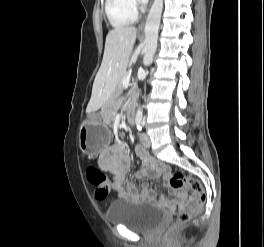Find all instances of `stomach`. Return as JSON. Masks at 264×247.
<instances>
[{
	"label": "stomach",
	"mask_w": 264,
	"mask_h": 247,
	"mask_svg": "<svg viewBox=\"0 0 264 247\" xmlns=\"http://www.w3.org/2000/svg\"><path fill=\"white\" fill-rule=\"evenodd\" d=\"M110 130L102 116L85 120L79 129L80 149L91 155L100 153L109 143Z\"/></svg>",
	"instance_id": "obj_1"
}]
</instances>
